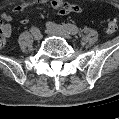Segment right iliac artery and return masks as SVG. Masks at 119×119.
Returning a JSON list of instances; mask_svg holds the SVG:
<instances>
[{
	"instance_id": "obj_1",
	"label": "right iliac artery",
	"mask_w": 119,
	"mask_h": 119,
	"mask_svg": "<svg viewBox=\"0 0 119 119\" xmlns=\"http://www.w3.org/2000/svg\"><path fill=\"white\" fill-rule=\"evenodd\" d=\"M31 34H32V36L37 37V36H39L40 31L36 27H32L31 28Z\"/></svg>"
}]
</instances>
